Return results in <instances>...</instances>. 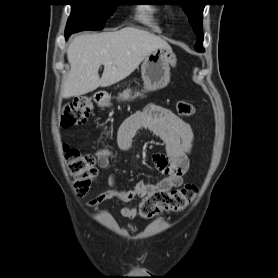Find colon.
Listing matches in <instances>:
<instances>
[{
	"label": "colon",
	"mask_w": 278,
	"mask_h": 278,
	"mask_svg": "<svg viewBox=\"0 0 278 278\" xmlns=\"http://www.w3.org/2000/svg\"><path fill=\"white\" fill-rule=\"evenodd\" d=\"M93 109L91 99L80 97L65 104L61 111V126L68 128L82 125L86 122ZM176 109L185 117L193 116L195 106L188 101H179ZM99 154H111L107 150ZM67 168L73 178V188L78 195H84L91 187L97 175L95 157L80 149L65 147ZM198 188L194 184H186L183 188L171 191H156L146 196L140 205V215L145 219L152 218L164 212H177L186 208L197 195Z\"/></svg>",
	"instance_id": "1"
}]
</instances>
